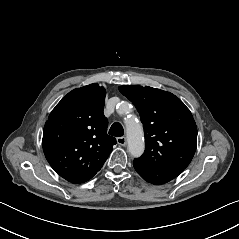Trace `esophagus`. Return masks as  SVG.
Wrapping results in <instances>:
<instances>
[{
  "label": "esophagus",
  "mask_w": 239,
  "mask_h": 239,
  "mask_svg": "<svg viewBox=\"0 0 239 239\" xmlns=\"http://www.w3.org/2000/svg\"><path fill=\"white\" fill-rule=\"evenodd\" d=\"M117 143L121 146H125L127 141H126V138L125 137H118L117 138Z\"/></svg>",
  "instance_id": "esophagus-1"
}]
</instances>
